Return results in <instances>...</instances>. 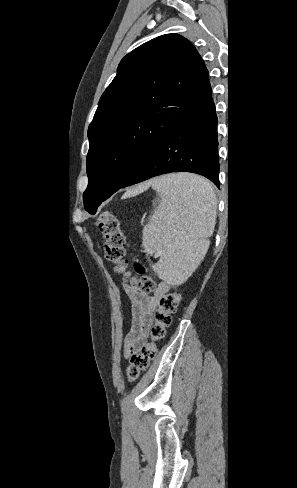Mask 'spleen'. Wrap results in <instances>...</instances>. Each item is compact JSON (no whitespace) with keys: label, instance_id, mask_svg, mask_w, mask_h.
<instances>
[{"label":"spleen","instance_id":"1","mask_svg":"<svg viewBox=\"0 0 297 488\" xmlns=\"http://www.w3.org/2000/svg\"><path fill=\"white\" fill-rule=\"evenodd\" d=\"M161 201L143 229L147 254L160 252L153 269L163 280L181 282L215 226L216 196L204 178L175 173L153 179Z\"/></svg>","mask_w":297,"mask_h":488}]
</instances>
